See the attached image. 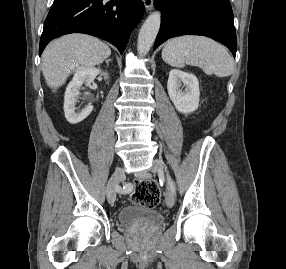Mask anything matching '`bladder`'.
I'll use <instances>...</instances> for the list:
<instances>
[{
    "mask_svg": "<svg viewBox=\"0 0 286 269\" xmlns=\"http://www.w3.org/2000/svg\"><path fill=\"white\" fill-rule=\"evenodd\" d=\"M118 221L124 226L159 227L164 223L165 218L157 210L128 205L119 210Z\"/></svg>",
    "mask_w": 286,
    "mask_h": 269,
    "instance_id": "bladder-1",
    "label": "bladder"
}]
</instances>
